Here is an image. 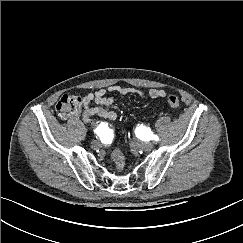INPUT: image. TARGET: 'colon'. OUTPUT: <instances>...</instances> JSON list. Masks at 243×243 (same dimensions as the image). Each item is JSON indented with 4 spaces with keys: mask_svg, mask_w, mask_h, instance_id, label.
I'll list each match as a JSON object with an SVG mask.
<instances>
[{
    "mask_svg": "<svg viewBox=\"0 0 243 243\" xmlns=\"http://www.w3.org/2000/svg\"><path fill=\"white\" fill-rule=\"evenodd\" d=\"M82 102L83 98L79 95L64 94L56 103L55 109L61 118H67L80 109ZM167 103L173 109H179L180 107V100L176 95H169L167 97ZM111 157L116 168L119 171L123 170L125 167V158L123 153L120 150L115 149L113 150Z\"/></svg>",
    "mask_w": 243,
    "mask_h": 243,
    "instance_id": "1",
    "label": "colon"
}]
</instances>
